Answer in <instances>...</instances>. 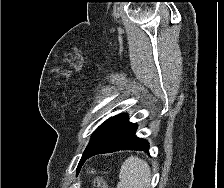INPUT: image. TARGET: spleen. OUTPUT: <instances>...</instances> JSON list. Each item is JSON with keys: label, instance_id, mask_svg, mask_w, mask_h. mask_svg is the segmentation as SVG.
Segmentation results:
<instances>
[{"label": "spleen", "instance_id": "1", "mask_svg": "<svg viewBox=\"0 0 224 188\" xmlns=\"http://www.w3.org/2000/svg\"><path fill=\"white\" fill-rule=\"evenodd\" d=\"M150 167L135 156L128 157L121 166L117 188H149Z\"/></svg>", "mask_w": 224, "mask_h": 188}]
</instances>
